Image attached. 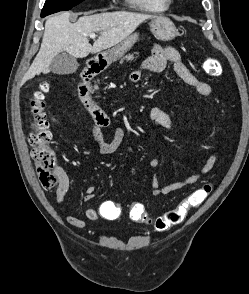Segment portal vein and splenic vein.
Masks as SVG:
<instances>
[{
    "instance_id": "18ae733b",
    "label": "portal vein and splenic vein",
    "mask_w": 249,
    "mask_h": 294,
    "mask_svg": "<svg viewBox=\"0 0 249 294\" xmlns=\"http://www.w3.org/2000/svg\"><path fill=\"white\" fill-rule=\"evenodd\" d=\"M90 37L95 38L96 37L95 33H91Z\"/></svg>"
}]
</instances>
